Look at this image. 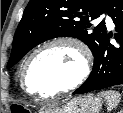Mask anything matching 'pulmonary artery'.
Masks as SVG:
<instances>
[{
	"label": "pulmonary artery",
	"mask_w": 123,
	"mask_h": 113,
	"mask_svg": "<svg viewBox=\"0 0 123 113\" xmlns=\"http://www.w3.org/2000/svg\"><path fill=\"white\" fill-rule=\"evenodd\" d=\"M106 23L108 26L112 27L113 26V21L109 16H106Z\"/></svg>",
	"instance_id": "obj_1"
}]
</instances>
